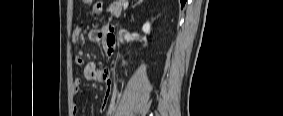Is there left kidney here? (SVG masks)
Masks as SVG:
<instances>
[{
  "label": "left kidney",
  "instance_id": "left-kidney-1",
  "mask_svg": "<svg viewBox=\"0 0 283 116\" xmlns=\"http://www.w3.org/2000/svg\"><path fill=\"white\" fill-rule=\"evenodd\" d=\"M142 30L145 34H149L150 33V30H151V25L149 22H146L143 27H142Z\"/></svg>",
  "mask_w": 283,
  "mask_h": 116
}]
</instances>
